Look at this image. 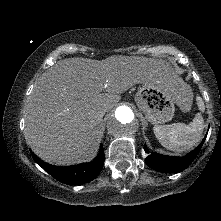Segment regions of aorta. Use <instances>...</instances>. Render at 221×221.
<instances>
[{"label":"aorta","mask_w":221,"mask_h":221,"mask_svg":"<svg viewBox=\"0 0 221 221\" xmlns=\"http://www.w3.org/2000/svg\"><path fill=\"white\" fill-rule=\"evenodd\" d=\"M108 132L120 138L133 136L138 130L134 112L128 106H119L107 122Z\"/></svg>","instance_id":"aorta-1"}]
</instances>
